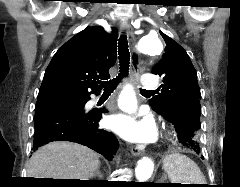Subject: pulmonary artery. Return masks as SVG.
I'll return each mask as SVG.
<instances>
[{"label":"pulmonary artery","instance_id":"obj_1","mask_svg":"<svg viewBox=\"0 0 240 187\" xmlns=\"http://www.w3.org/2000/svg\"><path fill=\"white\" fill-rule=\"evenodd\" d=\"M141 84L146 90H155L158 87V83L154 75H151V74L142 76Z\"/></svg>","mask_w":240,"mask_h":187}]
</instances>
